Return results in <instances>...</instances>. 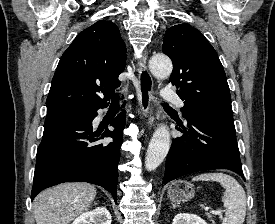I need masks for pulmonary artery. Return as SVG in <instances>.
I'll return each mask as SVG.
<instances>
[{
    "label": "pulmonary artery",
    "instance_id": "e3ab8cb5",
    "mask_svg": "<svg viewBox=\"0 0 275 224\" xmlns=\"http://www.w3.org/2000/svg\"><path fill=\"white\" fill-rule=\"evenodd\" d=\"M161 97L165 100V101H170V102H174L176 103V105L179 108H183L184 107V102L183 100L179 97V95L172 89H164L161 92Z\"/></svg>",
    "mask_w": 275,
    "mask_h": 224
}]
</instances>
